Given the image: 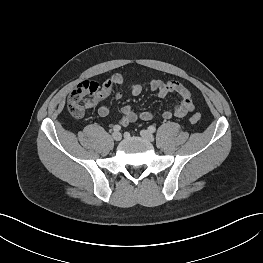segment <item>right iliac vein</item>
<instances>
[{"instance_id": "right-iliac-vein-1", "label": "right iliac vein", "mask_w": 263, "mask_h": 263, "mask_svg": "<svg viewBox=\"0 0 263 263\" xmlns=\"http://www.w3.org/2000/svg\"><path fill=\"white\" fill-rule=\"evenodd\" d=\"M112 137H113V139H114L115 141H120L121 138H122V135H121V133H119V132H114V133L112 134Z\"/></svg>"}]
</instances>
